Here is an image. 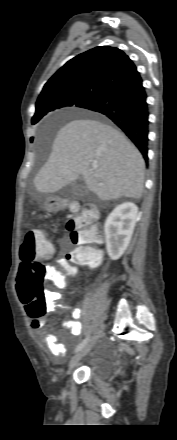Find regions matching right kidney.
I'll return each instance as SVG.
<instances>
[{"instance_id":"1","label":"right kidney","mask_w":177,"mask_h":440,"mask_svg":"<svg viewBox=\"0 0 177 440\" xmlns=\"http://www.w3.org/2000/svg\"><path fill=\"white\" fill-rule=\"evenodd\" d=\"M137 220L138 207L132 202L118 205L107 217L104 225L106 249L112 260H118L127 249Z\"/></svg>"}]
</instances>
